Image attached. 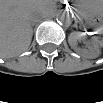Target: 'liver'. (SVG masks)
Wrapping results in <instances>:
<instances>
[{
    "label": "liver",
    "mask_w": 103,
    "mask_h": 103,
    "mask_svg": "<svg viewBox=\"0 0 103 103\" xmlns=\"http://www.w3.org/2000/svg\"><path fill=\"white\" fill-rule=\"evenodd\" d=\"M54 2L49 0L1 1V56L13 57L28 49L33 30L31 16L49 15Z\"/></svg>",
    "instance_id": "obj_1"
}]
</instances>
